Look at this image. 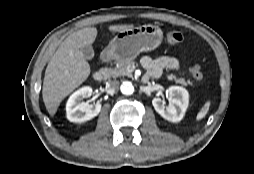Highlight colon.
Segmentation results:
<instances>
[{"instance_id":"colon-1","label":"colon","mask_w":254,"mask_h":174,"mask_svg":"<svg viewBox=\"0 0 254 174\" xmlns=\"http://www.w3.org/2000/svg\"><path fill=\"white\" fill-rule=\"evenodd\" d=\"M167 41L170 43V44H178V43H181L183 41V35L178 31V30H175V29H172L170 30L168 33H167ZM191 74L192 76L197 80V81H203L204 79V74H203V71L200 67V65L198 64H194L191 69Z\"/></svg>"}]
</instances>
